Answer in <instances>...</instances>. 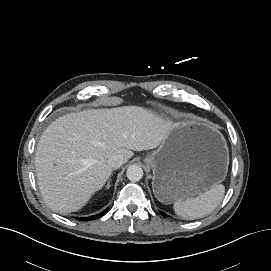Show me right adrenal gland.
<instances>
[{"label": "right adrenal gland", "mask_w": 271, "mask_h": 271, "mask_svg": "<svg viewBox=\"0 0 271 271\" xmlns=\"http://www.w3.org/2000/svg\"><path fill=\"white\" fill-rule=\"evenodd\" d=\"M110 181H111V179H109V181H108V183H107V185H106V188H107V189L110 188Z\"/></svg>", "instance_id": "2a0ac1e0"}]
</instances>
